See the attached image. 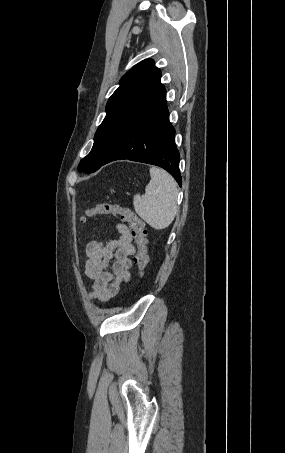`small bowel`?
I'll return each instance as SVG.
<instances>
[{"mask_svg":"<svg viewBox=\"0 0 285 453\" xmlns=\"http://www.w3.org/2000/svg\"><path fill=\"white\" fill-rule=\"evenodd\" d=\"M119 237L102 242L91 240L86 246L85 274L92 280L91 297L107 301L115 296L131 277V256L136 252L133 235L124 224L117 226Z\"/></svg>","mask_w":285,"mask_h":453,"instance_id":"1","label":"small bowel"}]
</instances>
